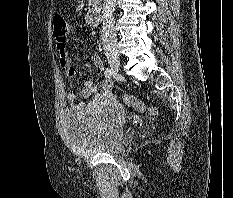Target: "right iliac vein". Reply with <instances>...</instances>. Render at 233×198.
<instances>
[{"instance_id":"right-iliac-vein-1","label":"right iliac vein","mask_w":233,"mask_h":198,"mask_svg":"<svg viewBox=\"0 0 233 198\" xmlns=\"http://www.w3.org/2000/svg\"><path fill=\"white\" fill-rule=\"evenodd\" d=\"M107 59L113 70L118 71L120 69V58L116 51H110L107 54Z\"/></svg>"}]
</instances>
